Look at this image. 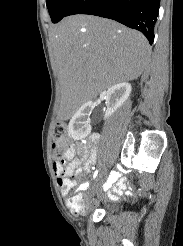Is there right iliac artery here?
Listing matches in <instances>:
<instances>
[{"label": "right iliac artery", "instance_id": "right-iliac-artery-1", "mask_svg": "<svg viewBox=\"0 0 183 246\" xmlns=\"http://www.w3.org/2000/svg\"><path fill=\"white\" fill-rule=\"evenodd\" d=\"M97 173H98L97 171L94 173V178L97 176ZM116 178H118V174H117V172H114V171H113V172L111 173V177H110V180H109V181L112 182V180H113V179H116ZM106 188H107V187H106Z\"/></svg>", "mask_w": 183, "mask_h": 246}]
</instances>
